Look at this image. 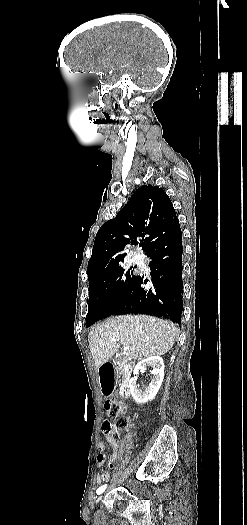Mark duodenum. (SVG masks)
<instances>
[{"label": "duodenum", "instance_id": "410a0bca", "mask_svg": "<svg viewBox=\"0 0 247 525\" xmlns=\"http://www.w3.org/2000/svg\"><path fill=\"white\" fill-rule=\"evenodd\" d=\"M122 371V382L120 385V395L127 398L130 395V376L132 364L124 360L106 361L102 363L98 370L101 391L105 396L112 394L115 384V370Z\"/></svg>", "mask_w": 247, "mask_h": 525}]
</instances>
